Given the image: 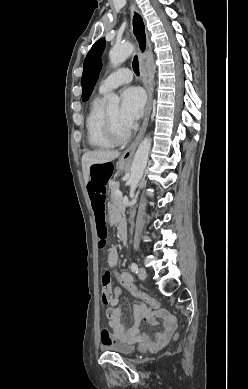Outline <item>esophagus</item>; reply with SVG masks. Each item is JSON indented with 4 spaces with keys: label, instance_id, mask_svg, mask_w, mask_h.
Instances as JSON below:
<instances>
[{
    "label": "esophagus",
    "instance_id": "1",
    "mask_svg": "<svg viewBox=\"0 0 248 389\" xmlns=\"http://www.w3.org/2000/svg\"><path fill=\"white\" fill-rule=\"evenodd\" d=\"M131 23H132V32L136 39L139 48V56L142 68H145L147 71V76L144 79V85L148 95V101L145 110V117L141 126V129L134 140V142L123 152L120 159L122 161H128L132 158L137 145L142 139L146 128L148 126V121L152 109V98H153V84H152V73L149 68V59L152 55L150 36L147 31L145 20L136 8L134 4H131Z\"/></svg>",
    "mask_w": 248,
    "mask_h": 389
}]
</instances>
